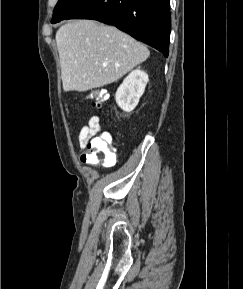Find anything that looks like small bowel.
I'll list each match as a JSON object with an SVG mask.
<instances>
[{
  "label": "small bowel",
  "mask_w": 243,
  "mask_h": 289,
  "mask_svg": "<svg viewBox=\"0 0 243 289\" xmlns=\"http://www.w3.org/2000/svg\"><path fill=\"white\" fill-rule=\"evenodd\" d=\"M103 133L104 131L102 129L100 118L96 115L90 117L88 123L81 128L78 135V142L80 149L84 150L91 140L101 136Z\"/></svg>",
  "instance_id": "obj_1"
}]
</instances>
